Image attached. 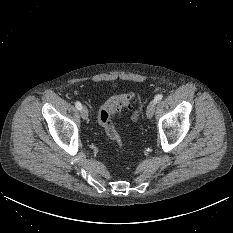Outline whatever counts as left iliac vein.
Here are the masks:
<instances>
[{
    "label": "left iliac vein",
    "mask_w": 233,
    "mask_h": 233,
    "mask_svg": "<svg viewBox=\"0 0 233 233\" xmlns=\"http://www.w3.org/2000/svg\"><path fill=\"white\" fill-rule=\"evenodd\" d=\"M155 107H156V102H155V100H152L148 104L147 109H146V115H147L148 119H151L153 117L154 111H155Z\"/></svg>",
    "instance_id": "left-iliac-vein-1"
}]
</instances>
